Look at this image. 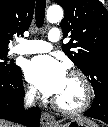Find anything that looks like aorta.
Returning a JSON list of instances; mask_svg holds the SVG:
<instances>
[{
	"label": "aorta",
	"instance_id": "aorta-1",
	"mask_svg": "<svg viewBox=\"0 0 108 127\" xmlns=\"http://www.w3.org/2000/svg\"><path fill=\"white\" fill-rule=\"evenodd\" d=\"M47 20L50 23H57L63 18V9L58 5H52L47 10Z\"/></svg>",
	"mask_w": 108,
	"mask_h": 127
}]
</instances>
